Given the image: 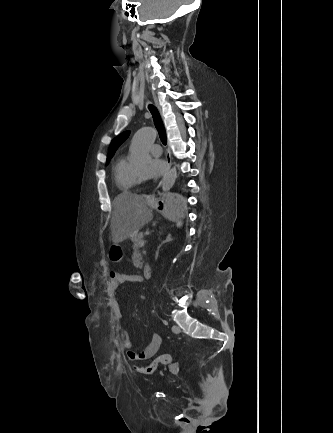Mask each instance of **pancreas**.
<instances>
[{
    "mask_svg": "<svg viewBox=\"0 0 333 433\" xmlns=\"http://www.w3.org/2000/svg\"><path fill=\"white\" fill-rule=\"evenodd\" d=\"M143 233L140 232L138 235L134 236L131 238L132 242H133V250L135 252H137L140 248V242L143 240Z\"/></svg>",
    "mask_w": 333,
    "mask_h": 433,
    "instance_id": "1",
    "label": "pancreas"
}]
</instances>
